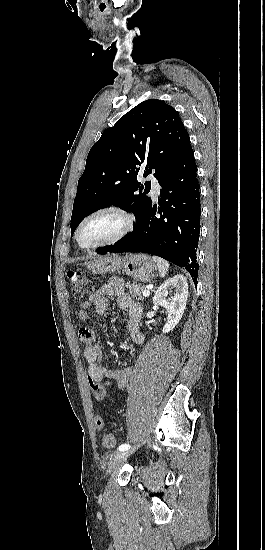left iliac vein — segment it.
Wrapping results in <instances>:
<instances>
[{"label": "left iliac vein", "instance_id": "4c4485c4", "mask_svg": "<svg viewBox=\"0 0 265 550\" xmlns=\"http://www.w3.org/2000/svg\"><path fill=\"white\" fill-rule=\"evenodd\" d=\"M134 450H135V448H133L131 450H125V451H121V452L116 453L115 456L113 457L112 461L109 464V468L106 471V474H109L113 469L120 467L122 465V463L126 460V458L131 453H133Z\"/></svg>", "mask_w": 265, "mask_h": 550}]
</instances>
